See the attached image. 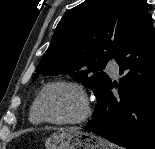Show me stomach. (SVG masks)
Here are the masks:
<instances>
[{"mask_svg":"<svg viewBox=\"0 0 155 149\" xmlns=\"http://www.w3.org/2000/svg\"><path fill=\"white\" fill-rule=\"evenodd\" d=\"M46 149H113L104 139L78 128H61L45 142Z\"/></svg>","mask_w":155,"mask_h":149,"instance_id":"stomach-1","label":"stomach"}]
</instances>
